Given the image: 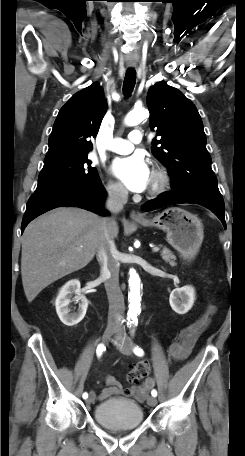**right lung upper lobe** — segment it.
I'll return each mask as SVG.
<instances>
[{"label": "right lung upper lobe", "mask_w": 245, "mask_h": 456, "mask_svg": "<svg viewBox=\"0 0 245 456\" xmlns=\"http://www.w3.org/2000/svg\"><path fill=\"white\" fill-rule=\"evenodd\" d=\"M107 110V101L99 83L74 94L61 108L49 137L44 166L88 155Z\"/></svg>", "instance_id": "1"}]
</instances>
